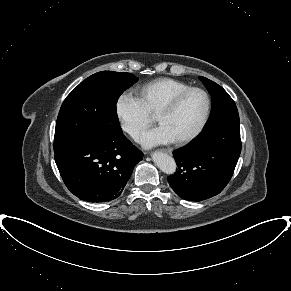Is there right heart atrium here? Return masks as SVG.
<instances>
[{
  "label": "right heart atrium",
  "instance_id": "obj_1",
  "mask_svg": "<svg viewBox=\"0 0 291 291\" xmlns=\"http://www.w3.org/2000/svg\"><path fill=\"white\" fill-rule=\"evenodd\" d=\"M115 110L122 129L133 139H138L153 122L141 100L128 92L119 95Z\"/></svg>",
  "mask_w": 291,
  "mask_h": 291
}]
</instances>
